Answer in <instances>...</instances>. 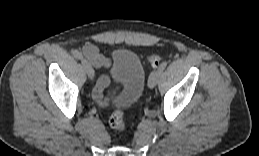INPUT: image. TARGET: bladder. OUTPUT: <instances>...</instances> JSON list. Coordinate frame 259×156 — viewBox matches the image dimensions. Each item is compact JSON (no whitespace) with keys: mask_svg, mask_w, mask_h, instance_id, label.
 <instances>
[{"mask_svg":"<svg viewBox=\"0 0 259 156\" xmlns=\"http://www.w3.org/2000/svg\"><path fill=\"white\" fill-rule=\"evenodd\" d=\"M113 59L112 78L124 84L115 103H118L121 109L130 108L142 95L145 82L144 68L139 57L128 50L114 52Z\"/></svg>","mask_w":259,"mask_h":156,"instance_id":"bladder-1","label":"bladder"}]
</instances>
